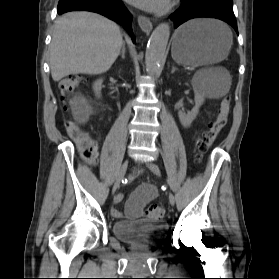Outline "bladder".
<instances>
[{"instance_id": "31cf9c89", "label": "bladder", "mask_w": 279, "mask_h": 279, "mask_svg": "<svg viewBox=\"0 0 279 279\" xmlns=\"http://www.w3.org/2000/svg\"><path fill=\"white\" fill-rule=\"evenodd\" d=\"M168 229L166 223L152 219H139L115 222L113 234L123 242L141 247H151L162 242Z\"/></svg>"}]
</instances>
